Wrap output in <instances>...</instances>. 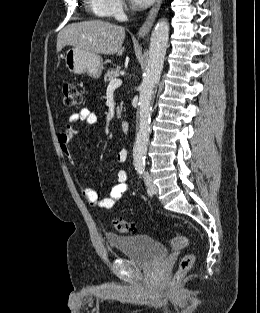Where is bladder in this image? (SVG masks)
I'll return each instance as SVG.
<instances>
[{
  "mask_svg": "<svg viewBox=\"0 0 260 313\" xmlns=\"http://www.w3.org/2000/svg\"><path fill=\"white\" fill-rule=\"evenodd\" d=\"M106 241L109 246L124 253L137 266H152L168 255L164 244L147 235L107 234Z\"/></svg>",
  "mask_w": 260,
  "mask_h": 313,
  "instance_id": "obj_1",
  "label": "bladder"
}]
</instances>
